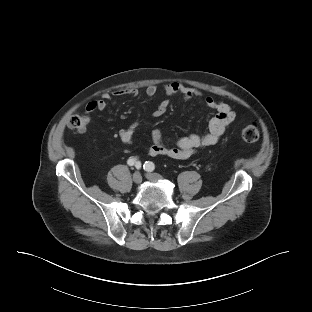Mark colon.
<instances>
[{"label":"colon","instance_id":"obj_1","mask_svg":"<svg viewBox=\"0 0 312 312\" xmlns=\"http://www.w3.org/2000/svg\"><path fill=\"white\" fill-rule=\"evenodd\" d=\"M88 123V118L84 114L80 113L72 114L68 119V126L79 131L84 130ZM259 136V127L255 122L246 125L240 131V138L247 143H253L257 141Z\"/></svg>","mask_w":312,"mask_h":312}]
</instances>
